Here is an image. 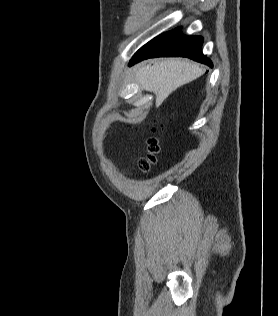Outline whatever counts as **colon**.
<instances>
[{
    "mask_svg": "<svg viewBox=\"0 0 278 316\" xmlns=\"http://www.w3.org/2000/svg\"><path fill=\"white\" fill-rule=\"evenodd\" d=\"M148 155L141 158L138 162L139 169L142 172H148L157 161V154L160 150L156 139L150 138L147 142Z\"/></svg>",
    "mask_w": 278,
    "mask_h": 316,
    "instance_id": "obj_1",
    "label": "colon"
}]
</instances>
